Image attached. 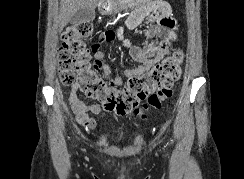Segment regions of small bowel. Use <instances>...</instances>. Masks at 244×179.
I'll return each mask as SVG.
<instances>
[{"label":"small bowel","mask_w":244,"mask_h":179,"mask_svg":"<svg viewBox=\"0 0 244 179\" xmlns=\"http://www.w3.org/2000/svg\"><path fill=\"white\" fill-rule=\"evenodd\" d=\"M125 24L116 31H104L100 33L91 45L96 66L105 76L111 77L112 86H121L125 79L133 74H141L150 70L161 61L168 53L172 45L177 41L176 21L172 16L170 5L162 0H153L152 3H134ZM150 22L152 26L146 29L145 36L152 38L153 42L147 46H138L131 43L124 36L125 29H136L143 22ZM118 39L126 48L132 60L137 66L126 69L121 75H113L110 64L105 60L104 44ZM68 103L76 115L77 121L86 128L93 129L95 121L88 116V112L96 115L104 114V108L100 104H87L82 99L81 90L69 89Z\"/></svg>","instance_id":"small-bowel-1"}]
</instances>
